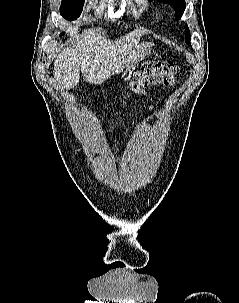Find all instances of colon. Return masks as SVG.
<instances>
[{
  "label": "colon",
  "instance_id": "1",
  "mask_svg": "<svg viewBox=\"0 0 239 303\" xmlns=\"http://www.w3.org/2000/svg\"><path fill=\"white\" fill-rule=\"evenodd\" d=\"M178 72L179 67L173 62L145 63L135 73L134 80L129 85L127 97L138 99L155 84L172 85L176 81Z\"/></svg>",
  "mask_w": 239,
  "mask_h": 303
}]
</instances>
